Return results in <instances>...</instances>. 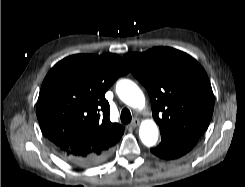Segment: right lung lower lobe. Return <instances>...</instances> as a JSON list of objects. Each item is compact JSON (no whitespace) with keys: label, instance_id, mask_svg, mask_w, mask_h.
<instances>
[{"label":"right lung lower lobe","instance_id":"obj_1","mask_svg":"<svg viewBox=\"0 0 245 187\" xmlns=\"http://www.w3.org/2000/svg\"><path fill=\"white\" fill-rule=\"evenodd\" d=\"M111 151L112 149H109L107 151L102 152L101 154L93 155L85 159L74 158V157L66 158L64 156L63 157L65 160H67L72 165H75L77 167L86 168V167L96 166L104 162L110 156Z\"/></svg>","mask_w":245,"mask_h":187}]
</instances>
